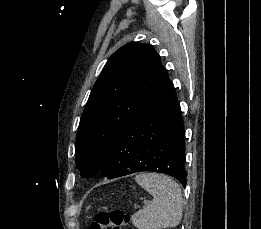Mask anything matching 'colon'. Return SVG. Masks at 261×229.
I'll return each instance as SVG.
<instances>
[{
  "mask_svg": "<svg viewBox=\"0 0 261 229\" xmlns=\"http://www.w3.org/2000/svg\"><path fill=\"white\" fill-rule=\"evenodd\" d=\"M129 224L130 216L120 209H114L97 213L89 229H127Z\"/></svg>",
  "mask_w": 261,
  "mask_h": 229,
  "instance_id": "5ec220e1",
  "label": "colon"
}]
</instances>
